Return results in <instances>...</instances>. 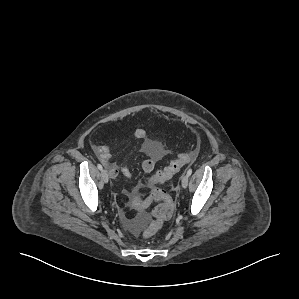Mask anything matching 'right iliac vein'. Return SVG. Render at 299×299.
Here are the masks:
<instances>
[{
    "instance_id": "obj_1",
    "label": "right iliac vein",
    "mask_w": 299,
    "mask_h": 299,
    "mask_svg": "<svg viewBox=\"0 0 299 299\" xmlns=\"http://www.w3.org/2000/svg\"><path fill=\"white\" fill-rule=\"evenodd\" d=\"M101 176H102L103 181H104L105 183H108V181H109V175H108V173H107L106 170H102V172H101Z\"/></svg>"
}]
</instances>
